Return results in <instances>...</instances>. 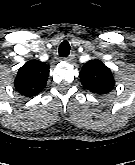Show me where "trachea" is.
Instances as JSON below:
<instances>
[{
    "label": "trachea",
    "mask_w": 135,
    "mask_h": 165,
    "mask_svg": "<svg viewBox=\"0 0 135 165\" xmlns=\"http://www.w3.org/2000/svg\"><path fill=\"white\" fill-rule=\"evenodd\" d=\"M70 54V44L64 40L59 46V55L61 57H67Z\"/></svg>",
    "instance_id": "1"
}]
</instances>
